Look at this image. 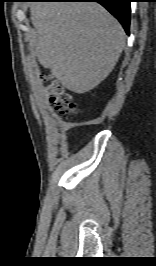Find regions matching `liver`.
<instances>
[{
  "label": "liver",
  "mask_w": 156,
  "mask_h": 266,
  "mask_svg": "<svg viewBox=\"0 0 156 266\" xmlns=\"http://www.w3.org/2000/svg\"><path fill=\"white\" fill-rule=\"evenodd\" d=\"M30 13L36 34L29 46L63 87L86 93L114 69L125 47V32L100 4L38 2Z\"/></svg>",
  "instance_id": "1"
}]
</instances>
